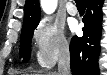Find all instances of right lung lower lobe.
<instances>
[{
	"label": "right lung lower lobe",
	"instance_id": "right-lung-lower-lobe-1",
	"mask_svg": "<svg viewBox=\"0 0 107 75\" xmlns=\"http://www.w3.org/2000/svg\"><path fill=\"white\" fill-rule=\"evenodd\" d=\"M87 8L83 18L82 37L74 36L70 43V66L73 75H99L103 0H85Z\"/></svg>",
	"mask_w": 107,
	"mask_h": 75
}]
</instances>
